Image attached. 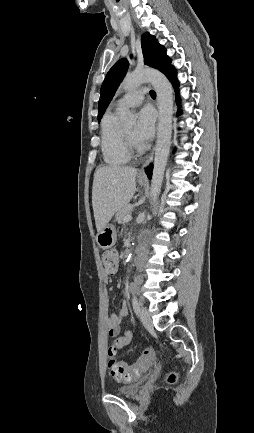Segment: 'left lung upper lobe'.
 <instances>
[{
  "label": "left lung upper lobe",
  "mask_w": 254,
  "mask_h": 433,
  "mask_svg": "<svg viewBox=\"0 0 254 433\" xmlns=\"http://www.w3.org/2000/svg\"><path fill=\"white\" fill-rule=\"evenodd\" d=\"M141 45L146 65L154 67L162 73L171 65V59L166 55L165 48L157 42L153 35L144 33ZM128 66L127 59L123 58L117 61L108 71L100 90L98 121L101 120L108 104L112 100L115 91L127 72Z\"/></svg>",
  "instance_id": "5c2ea615"
}]
</instances>
